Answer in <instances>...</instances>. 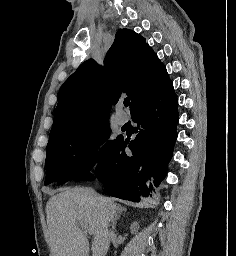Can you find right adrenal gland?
Here are the masks:
<instances>
[{
	"label": "right adrenal gland",
	"mask_w": 236,
	"mask_h": 256,
	"mask_svg": "<svg viewBox=\"0 0 236 256\" xmlns=\"http://www.w3.org/2000/svg\"><path fill=\"white\" fill-rule=\"evenodd\" d=\"M120 212H126L125 208H122V210H120ZM120 212H118L117 216H114V218L112 220V232H115L117 220H119V218H120V216H119Z\"/></svg>",
	"instance_id": "2a0ac1e0"
}]
</instances>
